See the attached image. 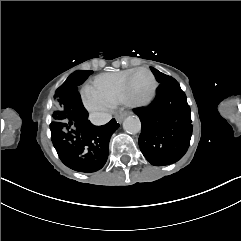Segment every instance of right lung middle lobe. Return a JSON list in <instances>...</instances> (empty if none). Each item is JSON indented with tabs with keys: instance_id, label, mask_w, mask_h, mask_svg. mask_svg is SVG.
<instances>
[{
	"instance_id": "1",
	"label": "right lung middle lobe",
	"mask_w": 241,
	"mask_h": 241,
	"mask_svg": "<svg viewBox=\"0 0 241 241\" xmlns=\"http://www.w3.org/2000/svg\"><path fill=\"white\" fill-rule=\"evenodd\" d=\"M92 73V71H84V70H78L72 73L67 80L57 89L55 92L53 99H52V105H51V111H52V123L51 125L55 123H67L69 122L71 118V113L68 107V103L66 100V89L69 88V81L73 82L76 85L82 84L87 77Z\"/></svg>"
}]
</instances>
